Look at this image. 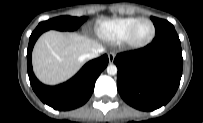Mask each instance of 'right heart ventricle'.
I'll return each mask as SVG.
<instances>
[{"instance_id": "e07e8e85", "label": "right heart ventricle", "mask_w": 203, "mask_h": 123, "mask_svg": "<svg viewBox=\"0 0 203 123\" xmlns=\"http://www.w3.org/2000/svg\"><path fill=\"white\" fill-rule=\"evenodd\" d=\"M139 17L117 18L101 21L96 26L97 35L108 41H124L130 29L140 20Z\"/></svg>"}]
</instances>
